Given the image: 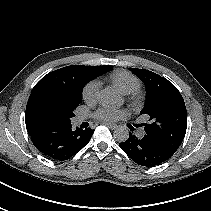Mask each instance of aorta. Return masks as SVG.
<instances>
[{"label": "aorta", "mask_w": 211, "mask_h": 211, "mask_svg": "<svg viewBox=\"0 0 211 211\" xmlns=\"http://www.w3.org/2000/svg\"><path fill=\"white\" fill-rule=\"evenodd\" d=\"M100 101L104 106H120L123 103L122 97L110 89L101 91ZM113 136L116 141L125 142L129 138V131L121 126L114 130Z\"/></svg>", "instance_id": "762f6f07"}]
</instances>
